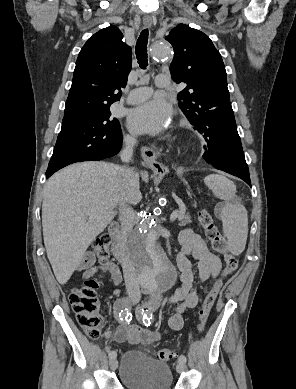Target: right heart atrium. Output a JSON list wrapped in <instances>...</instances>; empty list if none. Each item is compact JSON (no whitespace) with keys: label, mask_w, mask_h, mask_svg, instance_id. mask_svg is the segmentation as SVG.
I'll return each instance as SVG.
<instances>
[{"label":"right heart atrium","mask_w":296,"mask_h":389,"mask_svg":"<svg viewBox=\"0 0 296 389\" xmlns=\"http://www.w3.org/2000/svg\"><path fill=\"white\" fill-rule=\"evenodd\" d=\"M127 140L130 142V141H132V137H127Z\"/></svg>","instance_id":"obj_1"}]
</instances>
